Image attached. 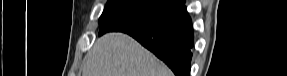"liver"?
I'll return each instance as SVG.
<instances>
[{
	"instance_id": "1",
	"label": "liver",
	"mask_w": 287,
	"mask_h": 76,
	"mask_svg": "<svg viewBox=\"0 0 287 76\" xmlns=\"http://www.w3.org/2000/svg\"><path fill=\"white\" fill-rule=\"evenodd\" d=\"M82 76H172L168 67L132 37L108 33L83 60Z\"/></svg>"
}]
</instances>
